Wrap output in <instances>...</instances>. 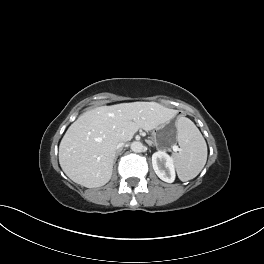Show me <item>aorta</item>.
I'll return each mask as SVG.
<instances>
[{
  "label": "aorta",
  "mask_w": 264,
  "mask_h": 264,
  "mask_svg": "<svg viewBox=\"0 0 264 264\" xmlns=\"http://www.w3.org/2000/svg\"><path fill=\"white\" fill-rule=\"evenodd\" d=\"M130 148L133 152L139 153L143 151L144 146L141 142L134 141L131 143Z\"/></svg>",
  "instance_id": "aorta-1"
}]
</instances>
